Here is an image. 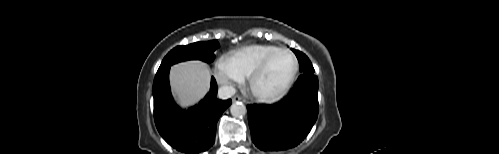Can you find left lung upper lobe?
I'll return each instance as SVG.
<instances>
[{
    "mask_svg": "<svg viewBox=\"0 0 499 154\" xmlns=\"http://www.w3.org/2000/svg\"><path fill=\"white\" fill-rule=\"evenodd\" d=\"M299 61V69L302 73L314 74L315 70L309 58L300 51L293 50Z\"/></svg>",
    "mask_w": 499,
    "mask_h": 154,
    "instance_id": "obj_1",
    "label": "left lung upper lobe"
}]
</instances>
